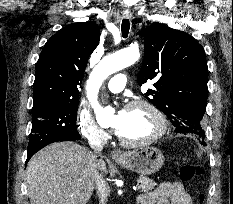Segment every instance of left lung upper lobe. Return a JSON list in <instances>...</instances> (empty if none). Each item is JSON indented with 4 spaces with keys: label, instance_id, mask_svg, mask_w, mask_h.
<instances>
[{
    "label": "left lung upper lobe",
    "instance_id": "left-lung-upper-lobe-1",
    "mask_svg": "<svg viewBox=\"0 0 233 204\" xmlns=\"http://www.w3.org/2000/svg\"><path fill=\"white\" fill-rule=\"evenodd\" d=\"M145 56L138 73L141 86L154 80L144 95L172 122L176 133L205 137L201 120L208 97V68L203 47L189 34L165 24L145 29Z\"/></svg>",
    "mask_w": 233,
    "mask_h": 204
}]
</instances>
